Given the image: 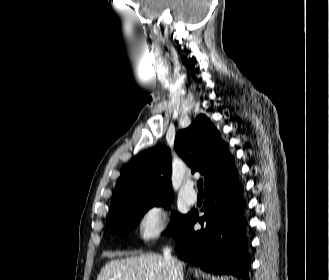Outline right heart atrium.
I'll return each instance as SVG.
<instances>
[{"label": "right heart atrium", "mask_w": 329, "mask_h": 280, "mask_svg": "<svg viewBox=\"0 0 329 280\" xmlns=\"http://www.w3.org/2000/svg\"><path fill=\"white\" fill-rule=\"evenodd\" d=\"M167 220L168 212L163 203L156 202L146 206L137 223L139 239L148 243L160 237L166 230Z\"/></svg>", "instance_id": "d8ad5b80"}]
</instances>
